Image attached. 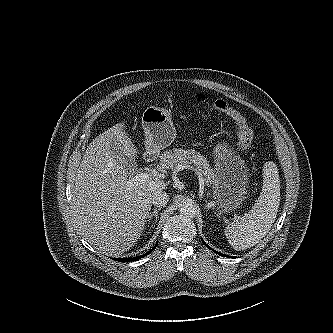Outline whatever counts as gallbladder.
Wrapping results in <instances>:
<instances>
[{"label": "gallbladder", "mask_w": 333, "mask_h": 333, "mask_svg": "<svg viewBox=\"0 0 333 333\" xmlns=\"http://www.w3.org/2000/svg\"><path fill=\"white\" fill-rule=\"evenodd\" d=\"M113 147H114L113 153L115 154L118 163L122 164V166H124L126 169L134 170L136 168L135 160L130 159L127 156H125L121 152L119 145L117 143L113 142Z\"/></svg>", "instance_id": "1"}]
</instances>
